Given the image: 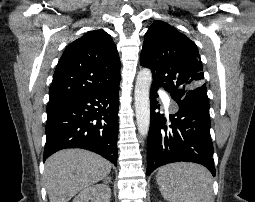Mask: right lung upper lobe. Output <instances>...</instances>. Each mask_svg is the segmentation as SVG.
I'll list each match as a JSON object with an SVG mask.
<instances>
[{
  "label": "right lung upper lobe",
  "instance_id": "cb5924a9",
  "mask_svg": "<svg viewBox=\"0 0 255 202\" xmlns=\"http://www.w3.org/2000/svg\"><path fill=\"white\" fill-rule=\"evenodd\" d=\"M120 60L104 30L87 32L72 42L60 58L49 90V101L99 91L119 83Z\"/></svg>",
  "mask_w": 255,
  "mask_h": 202
}]
</instances>
